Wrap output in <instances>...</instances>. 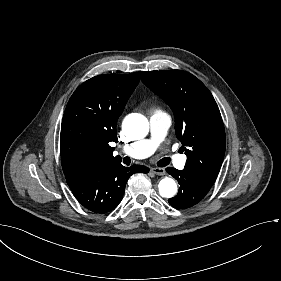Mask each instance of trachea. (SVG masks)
Here are the masks:
<instances>
[{
    "mask_svg": "<svg viewBox=\"0 0 281 281\" xmlns=\"http://www.w3.org/2000/svg\"><path fill=\"white\" fill-rule=\"evenodd\" d=\"M170 163V160L168 158H163L162 160H160L159 162V166L160 167H165Z\"/></svg>",
    "mask_w": 281,
    "mask_h": 281,
    "instance_id": "3493384b",
    "label": "trachea"
}]
</instances>
